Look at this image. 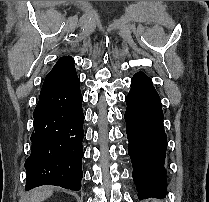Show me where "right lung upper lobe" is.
<instances>
[{
  "mask_svg": "<svg viewBox=\"0 0 209 202\" xmlns=\"http://www.w3.org/2000/svg\"><path fill=\"white\" fill-rule=\"evenodd\" d=\"M63 59L71 61L72 65H74V60L70 56H64Z\"/></svg>",
  "mask_w": 209,
  "mask_h": 202,
  "instance_id": "obj_1",
  "label": "right lung upper lobe"
}]
</instances>
